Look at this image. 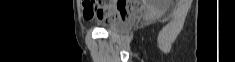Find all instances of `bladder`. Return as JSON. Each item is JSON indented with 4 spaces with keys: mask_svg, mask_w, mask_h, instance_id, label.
I'll return each mask as SVG.
<instances>
[{
    "mask_svg": "<svg viewBox=\"0 0 235 62\" xmlns=\"http://www.w3.org/2000/svg\"><path fill=\"white\" fill-rule=\"evenodd\" d=\"M137 21V14L133 13L127 16L125 19L112 22L105 25V29L108 32L120 33L129 30Z\"/></svg>",
    "mask_w": 235,
    "mask_h": 62,
    "instance_id": "31cf9c89",
    "label": "bladder"
}]
</instances>
